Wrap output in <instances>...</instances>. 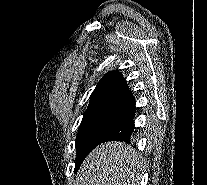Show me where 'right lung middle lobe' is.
<instances>
[{
    "label": "right lung middle lobe",
    "mask_w": 207,
    "mask_h": 185,
    "mask_svg": "<svg viewBox=\"0 0 207 185\" xmlns=\"http://www.w3.org/2000/svg\"><path fill=\"white\" fill-rule=\"evenodd\" d=\"M125 112L115 110L86 111L76 137V165L79 169L86 156L96 147L101 137L123 116Z\"/></svg>",
    "instance_id": "dd1d6c3e"
}]
</instances>
